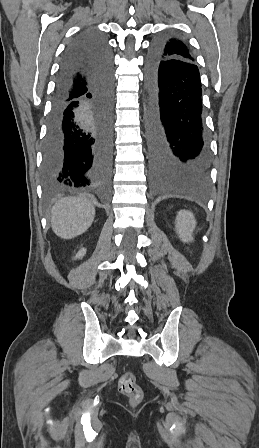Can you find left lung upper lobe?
Instances as JSON below:
<instances>
[{"label":"left lung upper lobe","mask_w":259,"mask_h":448,"mask_svg":"<svg viewBox=\"0 0 259 448\" xmlns=\"http://www.w3.org/2000/svg\"><path fill=\"white\" fill-rule=\"evenodd\" d=\"M160 59H180L186 62L195 63V58L187 43L177 35H169L155 49Z\"/></svg>","instance_id":"left-lung-upper-lobe-1"}]
</instances>
